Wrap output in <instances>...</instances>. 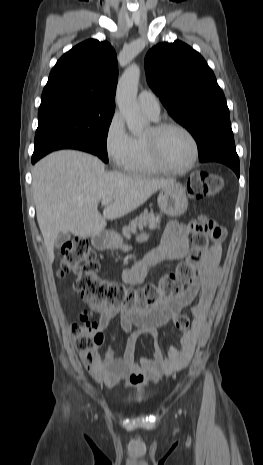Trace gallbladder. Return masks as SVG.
<instances>
[{"instance_id":"bac80fb5","label":"gallbladder","mask_w":263,"mask_h":465,"mask_svg":"<svg viewBox=\"0 0 263 465\" xmlns=\"http://www.w3.org/2000/svg\"><path fill=\"white\" fill-rule=\"evenodd\" d=\"M70 233H60L55 241V247L60 248L63 244H65L68 240H70Z\"/></svg>"}]
</instances>
